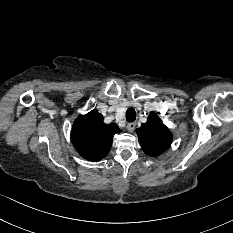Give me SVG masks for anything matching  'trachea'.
<instances>
[{
	"label": "trachea",
	"mask_w": 233,
	"mask_h": 233,
	"mask_svg": "<svg viewBox=\"0 0 233 233\" xmlns=\"http://www.w3.org/2000/svg\"><path fill=\"white\" fill-rule=\"evenodd\" d=\"M136 119V111L134 110V108H129L126 111V121L127 122H133Z\"/></svg>",
	"instance_id": "1"
}]
</instances>
